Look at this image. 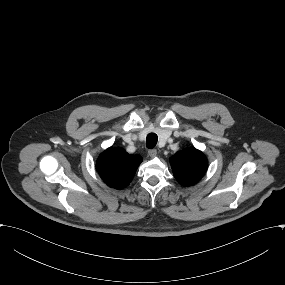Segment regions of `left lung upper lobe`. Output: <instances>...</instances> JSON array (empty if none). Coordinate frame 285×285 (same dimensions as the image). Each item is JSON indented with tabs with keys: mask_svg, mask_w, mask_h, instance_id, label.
Here are the masks:
<instances>
[{
	"mask_svg": "<svg viewBox=\"0 0 285 285\" xmlns=\"http://www.w3.org/2000/svg\"><path fill=\"white\" fill-rule=\"evenodd\" d=\"M170 163L174 177L183 186L196 184L208 167L205 155L193 147L175 153Z\"/></svg>",
	"mask_w": 285,
	"mask_h": 285,
	"instance_id": "5c2ea615",
	"label": "left lung upper lobe"
}]
</instances>
